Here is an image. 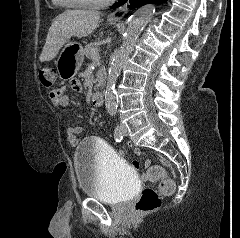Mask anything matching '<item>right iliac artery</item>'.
<instances>
[{
	"label": "right iliac artery",
	"mask_w": 240,
	"mask_h": 238,
	"mask_svg": "<svg viewBox=\"0 0 240 238\" xmlns=\"http://www.w3.org/2000/svg\"><path fill=\"white\" fill-rule=\"evenodd\" d=\"M114 138L116 142H121L123 139V132L121 130V126L117 125L114 131Z\"/></svg>",
	"instance_id": "obj_1"
}]
</instances>
